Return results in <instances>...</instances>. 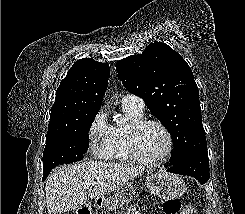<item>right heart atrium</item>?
Listing matches in <instances>:
<instances>
[{"instance_id": "1", "label": "right heart atrium", "mask_w": 245, "mask_h": 214, "mask_svg": "<svg viewBox=\"0 0 245 214\" xmlns=\"http://www.w3.org/2000/svg\"><path fill=\"white\" fill-rule=\"evenodd\" d=\"M112 137L113 127L108 121L106 112L101 109L93 117L88 128L90 148L97 158L110 157Z\"/></svg>"}]
</instances>
